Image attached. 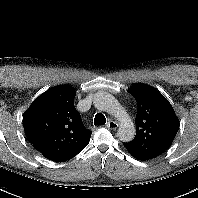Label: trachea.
I'll use <instances>...</instances> for the list:
<instances>
[{
  "label": "trachea",
  "instance_id": "obj_1",
  "mask_svg": "<svg viewBox=\"0 0 198 198\" xmlns=\"http://www.w3.org/2000/svg\"><path fill=\"white\" fill-rule=\"evenodd\" d=\"M106 118L102 113H97L94 118V125H104Z\"/></svg>",
  "mask_w": 198,
  "mask_h": 198
}]
</instances>
